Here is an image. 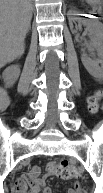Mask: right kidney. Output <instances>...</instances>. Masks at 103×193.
Masks as SVG:
<instances>
[{
    "label": "right kidney",
    "mask_w": 103,
    "mask_h": 193,
    "mask_svg": "<svg viewBox=\"0 0 103 193\" xmlns=\"http://www.w3.org/2000/svg\"><path fill=\"white\" fill-rule=\"evenodd\" d=\"M19 73V66H10L3 72V79L8 86H12L15 83L17 77L19 76Z\"/></svg>",
    "instance_id": "ca27d5eb"
}]
</instances>
